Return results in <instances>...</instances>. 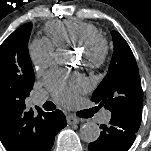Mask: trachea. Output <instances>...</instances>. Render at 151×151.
Returning a JSON list of instances; mask_svg holds the SVG:
<instances>
[{"mask_svg":"<svg viewBox=\"0 0 151 151\" xmlns=\"http://www.w3.org/2000/svg\"><path fill=\"white\" fill-rule=\"evenodd\" d=\"M43 108L47 111H51V110H54L55 109V105L53 103H45L43 105Z\"/></svg>","mask_w":151,"mask_h":151,"instance_id":"obj_1","label":"trachea"}]
</instances>
